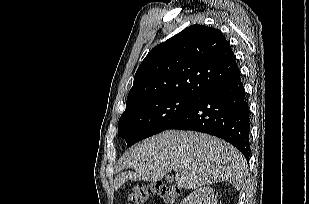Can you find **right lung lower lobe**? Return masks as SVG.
<instances>
[{"label":"right lung lower lobe","instance_id":"1","mask_svg":"<svg viewBox=\"0 0 309 204\" xmlns=\"http://www.w3.org/2000/svg\"><path fill=\"white\" fill-rule=\"evenodd\" d=\"M167 129L193 130L217 136L250 156V112L240 73L224 84L216 86Z\"/></svg>","mask_w":309,"mask_h":204}]
</instances>
